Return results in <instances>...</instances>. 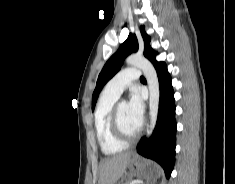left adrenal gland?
Instances as JSON below:
<instances>
[{
	"instance_id": "obj_1",
	"label": "left adrenal gland",
	"mask_w": 235,
	"mask_h": 184,
	"mask_svg": "<svg viewBox=\"0 0 235 184\" xmlns=\"http://www.w3.org/2000/svg\"><path fill=\"white\" fill-rule=\"evenodd\" d=\"M146 184H153V182H149V180H147Z\"/></svg>"
}]
</instances>
